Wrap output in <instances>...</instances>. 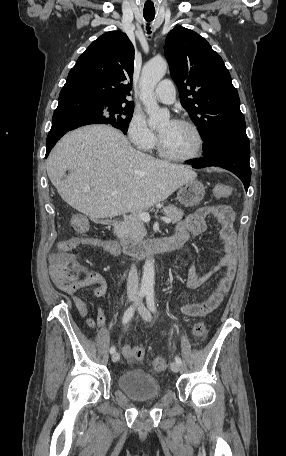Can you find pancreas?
Segmentation results:
<instances>
[{"instance_id": "cf45deb5", "label": "pancreas", "mask_w": 286, "mask_h": 456, "mask_svg": "<svg viewBox=\"0 0 286 456\" xmlns=\"http://www.w3.org/2000/svg\"><path fill=\"white\" fill-rule=\"evenodd\" d=\"M164 214L167 215L172 223H177L183 218V211L174 205H168L163 208ZM115 234L124 244H130L141 241L147 234L144 222L137 214L130 215L118 224L115 228Z\"/></svg>"}]
</instances>
